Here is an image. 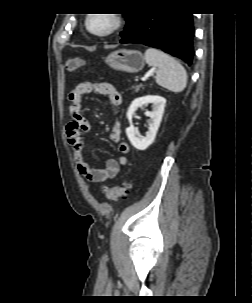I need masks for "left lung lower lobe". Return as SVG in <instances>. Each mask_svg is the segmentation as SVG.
<instances>
[{"instance_id": "1", "label": "left lung lower lobe", "mask_w": 252, "mask_h": 303, "mask_svg": "<svg viewBox=\"0 0 252 303\" xmlns=\"http://www.w3.org/2000/svg\"><path fill=\"white\" fill-rule=\"evenodd\" d=\"M193 19L191 13L143 12L138 24L121 43L144 44L182 59L193 61Z\"/></svg>"}]
</instances>
